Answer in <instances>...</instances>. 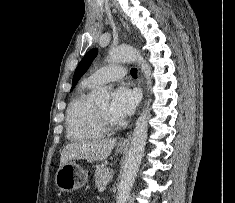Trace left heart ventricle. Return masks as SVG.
<instances>
[{"label": "left heart ventricle", "mask_w": 235, "mask_h": 203, "mask_svg": "<svg viewBox=\"0 0 235 203\" xmlns=\"http://www.w3.org/2000/svg\"><path fill=\"white\" fill-rule=\"evenodd\" d=\"M98 108L111 118V116L109 115V103L108 102L99 104Z\"/></svg>", "instance_id": "left-heart-ventricle-1"}]
</instances>
